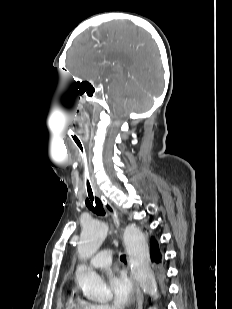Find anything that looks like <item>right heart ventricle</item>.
<instances>
[{
  "label": "right heart ventricle",
  "mask_w": 232,
  "mask_h": 309,
  "mask_svg": "<svg viewBox=\"0 0 232 309\" xmlns=\"http://www.w3.org/2000/svg\"><path fill=\"white\" fill-rule=\"evenodd\" d=\"M66 309H95L94 304L79 297L72 296L65 305Z\"/></svg>",
  "instance_id": "1"
}]
</instances>
